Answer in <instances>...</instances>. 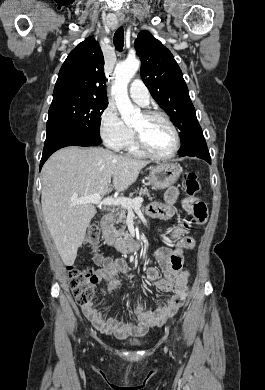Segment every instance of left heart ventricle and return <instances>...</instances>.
Listing matches in <instances>:
<instances>
[{
  "mask_svg": "<svg viewBox=\"0 0 265 390\" xmlns=\"http://www.w3.org/2000/svg\"><path fill=\"white\" fill-rule=\"evenodd\" d=\"M143 137L147 146L160 155L167 154L174 145V136L169 126L159 118H145L141 114L133 124Z\"/></svg>",
  "mask_w": 265,
  "mask_h": 390,
  "instance_id": "b2bd125f",
  "label": "left heart ventricle"
}]
</instances>
